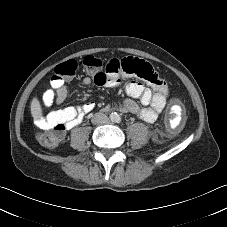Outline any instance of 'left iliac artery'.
I'll use <instances>...</instances> for the list:
<instances>
[{
  "label": "left iliac artery",
  "instance_id": "left-iliac-artery-1",
  "mask_svg": "<svg viewBox=\"0 0 227 227\" xmlns=\"http://www.w3.org/2000/svg\"><path fill=\"white\" fill-rule=\"evenodd\" d=\"M115 121H116L117 123H120V122H121V117H120V116H117L116 119H115Z\"/></svg>",
  "mask_w": 227,
  "mask_h": 227
}]
</instances>
